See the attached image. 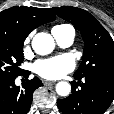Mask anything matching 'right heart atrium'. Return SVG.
<instances>
[{
  "instance_id": "d8ad5b80",
  "label": "right heart atrium",
  "mask_w": 114,
  "mask_h": 114,
  "mask_svg": "<svg viewBox=\"0 0 114 114\" xmlns=\"http://www.w3.org/2000/svg\"><path fill=\"white\" fill-rule=\"evenodd\" d=\"M28 41H29V38H27L26 42H28Z\"/></svg>"
}]
</instances>
